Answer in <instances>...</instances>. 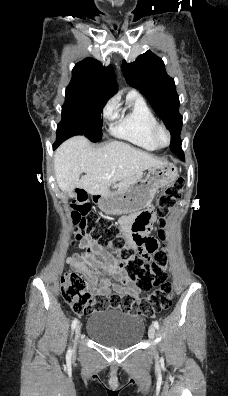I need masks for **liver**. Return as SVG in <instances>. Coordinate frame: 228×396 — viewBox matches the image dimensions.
Masks as SVG:
<instances>
[{"label": "liver", "mask_w": 228, "mask_h": 396, "mask_svg": "<svg viewBox=\"0 0 228 396\" xmlns=\"http://www.w3.org/2000/svg\"><path fill=\"white\" fill-rule=\"evenodd\" d=\"M166 163L124 142L112 141L95 148L85 137L75 136L56 150L54 170L63 192L70 194L75 188H82L97 195L107 192L117 181ZM82 173L85 175L80 178Z\"/></svg>", "instance_id": "liver-1"}]
</instances>
